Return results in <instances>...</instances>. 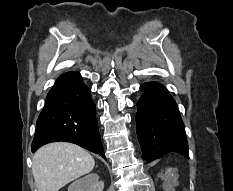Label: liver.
I'll return each instance as SVG.
<instances>
[{"label":"liver","instance_id":"1","mask_svg":"<svg viewBox=\"0 0 233 191\" xmlns=\"http://www.w3.org/2000/svg\"><path fill=\"white\" fill-rule=\"evenodd\" d=\"M94 166V158L83 148L67 142H55L35 152L32 173L38 191H58L91 172Z\"/></svg>","mask_w":233,"mask_h":191}]
</instances>
